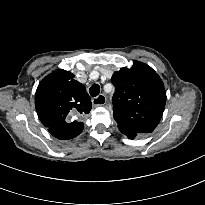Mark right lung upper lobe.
<instances>
[{"label": "right lung upper lobe", "mask_w": 205, "mask_h": 205, "mask_svg": "<svg viewBox=\"0 0 205 205\" xmlns=\"http://www.w3.org/2000/svg\"><path fill=\"white\" fill-rule=\"evenodd\" d=\"M35 107L40 121L52 135L67 140L79 135L84 124L77 121L91 110L85 86L65 70H55L38 85Z\"/></svg>", "instance_id": "obj_1"}]
</instances>
